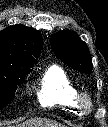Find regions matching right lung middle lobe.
Listing matches in <instances>:
<instances>
[{
  "mask_svg": "<svg viewBox=\"0 0 108 127\" xmlns=\"http://www.w3.org/2000/svg\"><path fill=\"white\" fill-rule=\"evenodd\" d=\"M31 67L15 60L0 58V108L13 100L17 87L21 85Z\"/></svg>",
  "mask_w": 108,
  "mask_h": 127,
  "instance_id": "dd1d6c3e",
  "label": "right lung middle lobe"
}]
</instances>
